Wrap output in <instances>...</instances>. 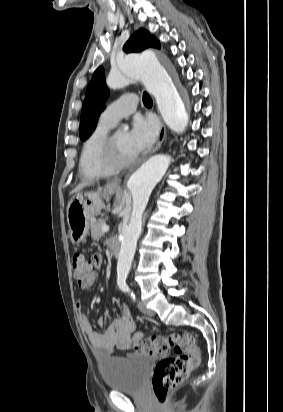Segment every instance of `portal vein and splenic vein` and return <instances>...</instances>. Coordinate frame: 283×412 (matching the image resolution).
Listing matches in <instances>:
<instances>
[{
    "label": "portal vein and splenic vein",
    "instance_id": "portal-vein-and-splenic-vein-1",
    "mask_svg": "<svg viewBox=\"0 0 283 412\" xmlns=\"http://www.w3.org/2000/svg\"><path fill=\"white\" fill-rule=\"evenodd\" d=\"M101 231H102V232H107V231H109V226H108V225H103V226L101 227Z\"/></svg>",
    "mask_w": 283,
    "mask_h": 412
}]
</instances>
